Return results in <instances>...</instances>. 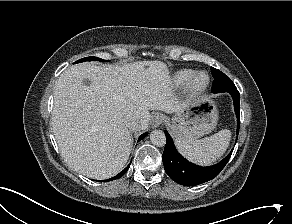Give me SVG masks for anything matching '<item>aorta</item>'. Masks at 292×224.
Returning <instances> with one entry per match:
<instances>
[{
  "label": "aorta",
  "instance_id": "762f6f07",
  "mask_svg": "<svg viewBox=\"0 0 292 224\" xmlns=\"http://www.w3.org/2000/svg\"><path fill=\"white\" fill-rule=\"evenodd\" d=\"M151 142L158 147H162L166 144L165 133L161 130H154L150 134Z\"/></svg>",
  "mask_w": 292,
  "mask_h": 224
}]
</instances>
